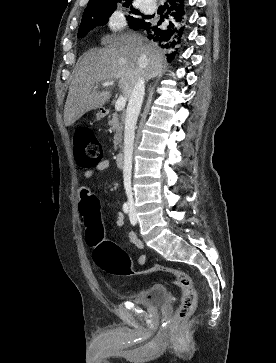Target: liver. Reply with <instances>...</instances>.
I'll return each instance as SVG.
<instances>
[{
	"mask_svg": "<svg viewBox=\"0 0 276 363\" xmlns=\"http://www.w3.org/2000/svg\"><path fill=\"white\" fill-rule=\"evenodd\" d=\"M102 41L104 48L88 51L76 65L64 108L66 126L110 99V92H98L96 85L119 80L122 95L129 99L140 78L148 81L161 75L165 68L166 59L157 44L135 32L106 35Z\"/></svg>",
	"mask_w": 276,
	"mask_h": 363,
	"instance_id": "1",
	"label": "liver"
}]
</instances>
